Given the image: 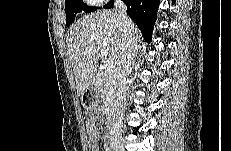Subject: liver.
I'll return each instance as SVG.
<instances>
[{
    "label": "liver",
    "mask_w": 231,
    "mask_h": 151,
    "mask_svg": "<svg viewBox=\"0 0 231 151\" xmlns=\"http://www.w3.org/2000/svg\"><path fill=\"white\" fill-rule=\"evenodd\" d=\"M134 51L141 41L140 31L131 21ZM69 59L72 64L77 96H83L94 80L101 49H106L104 57L114 64V72L124 51L126 36L121 21L114 10H99L85 15L67 32Z\"/></svg>",
    "instance_id": "obj_1"
}]
</instances>
